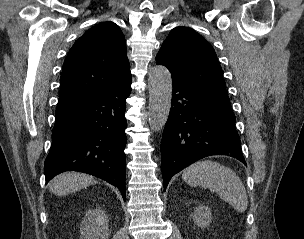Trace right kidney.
Returning <instances> with one entry per match:
<instances>
[{
	"label": "right kidney",
	"instance_id": "right-kidney-1",
	"mask_svg": "<svg viewBox=\"0 0 304 239\" xmlns=\"http://www.w3.org/2000/svg\"><path fill=\"white\" fill-rule=\"evenodd\" d=\"M81 239H106L108 233V219L100 208L89 210L80 227Z\"/></svg>",
	"mask_w": 304,
	"mask_h": 239
}]
</instances>
